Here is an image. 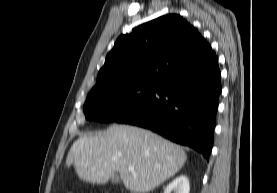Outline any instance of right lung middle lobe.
<instances>
[{"label":"right lung middle lobe","mask_w":277,"mask_h":193,"mask_svg":"<svg viewBox=\"0 0 277 193\" xmlns=\"http://www.w3.org/2000/svg\"><path fill=\"white\" fill-rule=\"evenodd\" d=\"M152 86H127L88 94L83 110L87 120L118 122L144 104L156 91Z\"/></svg>","instance_id":"1"}]
</instances>
